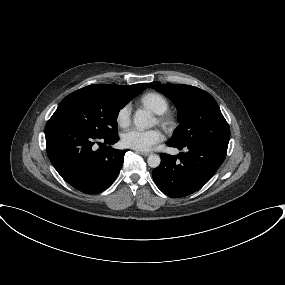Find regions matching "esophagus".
Masks as SVG:
<instances>
[{
  "mask_svg": "<svg viewBox=\"0 0 285 285\" xmlns=\"http://www.w3.org/2000/svg\"><path fill=\"white\" fill-rule=\"evenodd\" d=\"M137 152H138L139 154L145 156V157L151 155V153H149V152H143V151H137Z\"/></svg>",
  "mask_w": 285,
  "mask_h": 285,
  "instance_id": "1",
  "label": "esophagus"
}]
</instances>
